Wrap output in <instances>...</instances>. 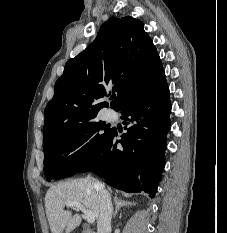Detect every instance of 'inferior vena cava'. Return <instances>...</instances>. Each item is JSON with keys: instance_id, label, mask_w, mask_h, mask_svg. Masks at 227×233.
Masks as SVG:
<instances>
[{"instance_id": "1", "label": "inferior vena cava", "mask_w": 227, "mask_h": 233, "mask_svg": "<svg viewBox=\"0 0 227 233\" xmlns=\"http://www.w3.org/2000/svg\"><path fill=\"white\" fill-rule=\"evenodd\" d=\"M95 188L99 193L100 200V215L97 221V233H110L113 212L111 198L101 183L96 181Z\"/></svg>"}]
</instances>
